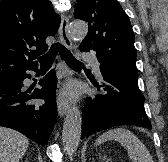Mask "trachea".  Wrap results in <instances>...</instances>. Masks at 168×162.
<instances>
[{
    "label": "trachea",
    "mask_w": 168,
    "mask_h": 162,
    "mask_svg": "<svg viewBox=\"0 0 168 162\" xmlns=\"http://www.w3.org/2000/svg\"><path fill=\"white\" fill-rule=\"evenodd\" d=\"M57 52H60L61 58L65 60L67 65L70 66L71 68H78L84 66L81 62L75 59V57L71 54V52L68 49H66L59 43H55L50 48L49 52H47L45 55L39 58L41 67L42 68L51 67Z\"/></svg>",
    "instance_id": "3493384b"
}]
</instances>
